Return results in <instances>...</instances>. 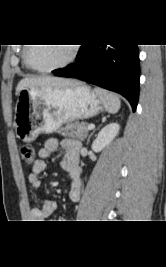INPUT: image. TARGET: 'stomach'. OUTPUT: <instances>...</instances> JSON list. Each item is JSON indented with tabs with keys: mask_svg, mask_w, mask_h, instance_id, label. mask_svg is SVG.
<instances>
[{
	"mask_svg": "<svg viewBox=\"0 0 166 267\" xmlns=\"http://www.w3.org/2000/svg\"><path fill=\"white\" fill-rule=\"evenodd\" d=\"M103 109L98 95L80 83L64 88H25L15 107L16 136L29 143L41 133H53L65 123L91 118Z\"/></svg>",
	"mask_w": 166,
	"mask_h": 267,
	"instance_id": "0dacf381",
	"label": "stomach"
}]
</instances>
